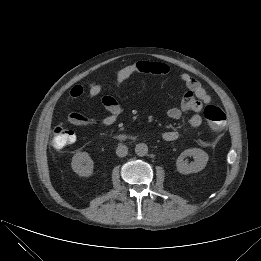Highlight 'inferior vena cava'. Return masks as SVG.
I'll return each instance as SVG.
<instances>
[{
	"instance_id": "inferior-vena-cava-1",
	"label": "inferior vena cava",
	"mask_w": 261,
	"mask_h": 261,
	"mask_svg": "<svg viewBox=\"0 0 261 261\" xmlns=\"http://www.w3.org/2000/svg\"><path fill=\"white\" fill-rule=\"evenodd\" d=\"M116 154L119 157H124L128 154V148L127 146L120 144L116 149Z\"/></svg>"
}]
</instances>
